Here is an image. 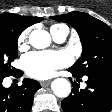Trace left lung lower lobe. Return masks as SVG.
<instances>
[{"label": "left lung lower lobe", "mask_w": 112, "mask_h": 112, "mask_svg": "<svg viewBox=\"0 0 112 112\" xmlns=\"http://www.w3.org/2000/svg\"><path fill=\"white\" fill-rule=\"evenodd\" d=\"M73 77H82L68 69ZM87 87L79 90L73 83L71 94L62 103L64 112H110L112 109V70H103L87 74Z\"/></svg>", "instance_id": "left-lung-lower-lobe-1"}]
</instances>
